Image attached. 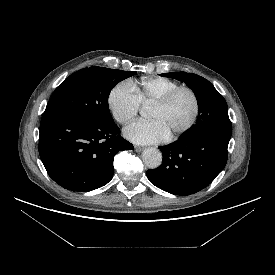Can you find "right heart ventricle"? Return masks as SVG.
I'll list each match as a JSON object with an SVG mask.
<instances>
[{"label":"right heart ventricle","mask_w":275,"mask_h":275,"mask_svg":"<svg viewBox=\"0 0 275 275\" xmlns=\"http://www.w3.org/2000/svg\"><path fill=\"white\" fill-rule=\"evenodd\" d=\"M179 86L176 81L166 77H145L141 79L136 90L142 104H154Z\"/></svg>","instance_id":"obj_1"}]
</instances>
